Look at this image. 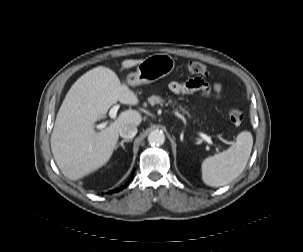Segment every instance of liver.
Instances as JSON below:
<instances>
[{"mask_svg": "<svg viewBox=\"0 0 303 252\" xmlns=\"http://www.w3.org/2000/svg\"><path fill=\"white\" fill-rule=\"evenodd\" d=\"M141 61L124 60L121 65L128 69ZM118 101L129 105L139 103L137 95L105 66L89 70L71 86L51 135L52 154L65 177L76 181L106 164L116 147L120 128L141 124L140 112L126 110L109 126L96 132L95 121L104 118Z\"/></svg>", "mask_w": 303, "mask_h": 252, "instance_id": "1", "label": "liver"}]
</instances>
